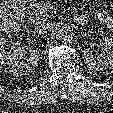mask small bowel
Instances as JSON below:
<instances>
[{"instance_id": "small-bowel-1", "label": "small bowel", "mask_w": 113, "mask_h": 113, "mask_svg": "<svg viewBox=\"0 0 113 113\" xmlns=\"http://www.w3.org/2000/svg\"><path fill=\"white\" fill-rule=\"evenodd\" d=\"M85 1H98V0H85ZM111 3L113 0H110ZM97 17L105 22L106 24H108L112 29H113V19L111 17H109L108 15H106L104 12L102 11H98L97 12Z\"/></svg>"}]
</instances>
